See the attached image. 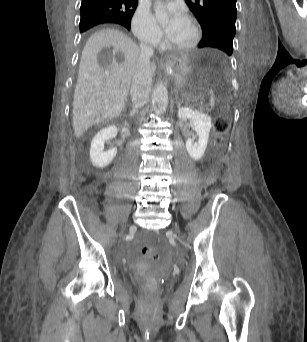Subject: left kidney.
<instances>
[{"instance_id":"5707ae66","label":"left kidney","mask_w":307,"mask_h":342,"mask_svg":"<svg viewBox=\"0 0 307 342\" xmlns=\"http://www.w3.org/2000/svg\"><path fill=\"white\" fill-rule=\"evenodd\" d=\"M178 118L179 120H190L192 130H195L196 136H198L197 142H194L193 138H188L185 144L190 158L198 162L203 158L208 146L212 118L198 110H191V108H179Z\"/></svg>"}]
</instances>
